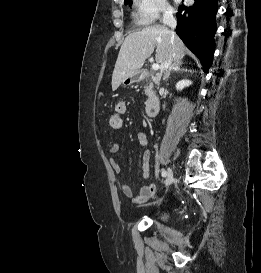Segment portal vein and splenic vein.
<instances>
[{"label":"portal vein and splenic vein","instance_id":"obj_1","mask_svg":"<svg viewBox=\"0 0 261 273\" xmlns=\"http://www.w3.org/2000/svg\"><path fill=\"white\" fill-rule=\"evenodd\" d=\"M152 69H153L154 71H157V70L160 69V65H159L158 63H154V64L152 65Z\"/></svg>","mask_w":261,"mask_h":273}]
</instances>
